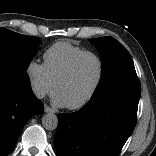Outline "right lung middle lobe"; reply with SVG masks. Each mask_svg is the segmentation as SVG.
<instances>
[{
	"label": "right lung middle lobe",
	"mask_w": 156,
	"mask_h": 156,
	"mask_svg": "<svg viewBox=\"0 0 156 156\" xmlns=\"http://www.w3.org/2000/svg\"><path fill=\"white\" fill-rule=\"evenodd\" d=\"M42 44L35 36H25L0 28V76L29 82L26 70Z\"/></svg>",
	"instance_id": "right-lung-middle-lobe-1"
}]
</instances>
